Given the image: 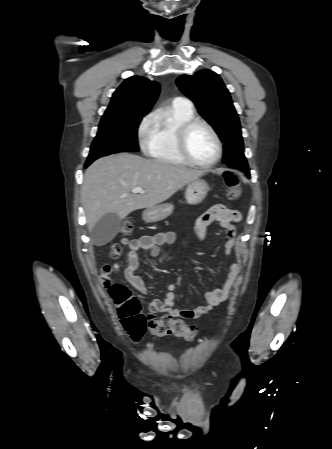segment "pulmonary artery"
Masks as SVG:
<instances>
[{
    "label": "pulmonary artery",
    "instance_id": "1",
    "mask_svg": "<svg viewBox=\"0 0 332 449\" xmlns=\"http://www.w3.org/2000/svg\"><path fill=\"white\" fill-rule=\"evenodd\" d=\"M173 103L177 104V105L186 106L188 108H192V103L188 99L183 98V97H176L173 100Z\"/></svg>",
    "mask_w": 332,
    "mask_h": 449
}]
</instances>
